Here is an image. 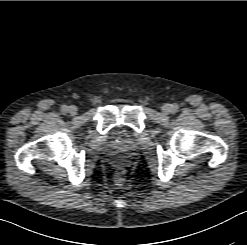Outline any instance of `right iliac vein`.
<instances>
[{
    "mask_svg": "<svg viewBox=\"0 0 247 245\" xmlns=\"http://www.w3.org/2000/svg\"><path fill=\"white\" fill-rule=\"evenodd\" d=\"M71 116H75L78 112V109L76 106L71 105L68 107V111H67Z\"/></svg>",
    "mask_w": 247,
    "mask_h": 245,
    "instance_id": "obj_1",
    "label": "right iliac vein"
}]
</instances>
